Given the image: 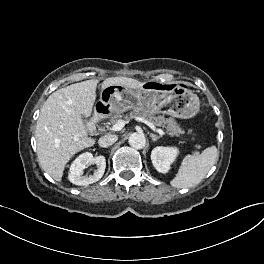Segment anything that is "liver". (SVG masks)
<instances>
[{
    "mask_svg": "<svg viewBox=\"0 0 264 264\" xmlns=\"http://www.w3.org/2000/svg\"><path fill=\"white\" fill-rule=\"evenodd\" d=\"M98 80H87L53 92L40 111L36 125L37 155L41 168L55 181L62 180L67 162L77 152L92 147L82 115L90 117L96 99ZM145 83L127 77H110L101 89L121 85L139 89Z\"/></svg>",
    "mask_w": 264,
    "mask_h": 264,
    "instance_id": "6515ba94",
    "label": "liver"
}]
</instances>
